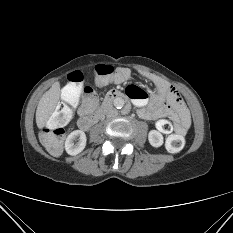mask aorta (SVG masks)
Instances as JSON below:
<instances>
[{"label":"aorta","mask_w":233,"mask_h":233,"mask_svg":"<svg viewBox=\"0 0 233 233\" xmlns=\"http://www.w3.org/2000/svg\"><path fill=\"white\" fill-rule=\"evenodd\" d=\"M113 103H114V106H115L116 108L121 109V108H123V106H124V104H125V101H124L123 98L117 97V98L114 99V102H113Z\"/></svg>","instance_id":"obj_1"}]
</instances>
